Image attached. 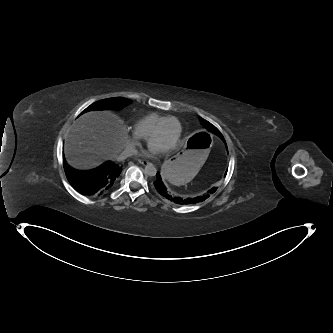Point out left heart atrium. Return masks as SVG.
<instances>
[{
	"label": "left heart atrium",
	"mask_w": 333,
	"mask_h": 333,
	"mask_svg": "<svg viewBox=\"0 0 333 333\" xmlns=\"http://www.w3.org/2000/svg\"><path fill=\"white\" fill-rule=\"evenodd\" d=\"M164 151V149L154 145V144H150L149 146V150L146 153L147 156H154V155H158L161 154Z\"/></svg>",
	"instance_id": "obj_1"
}]
</instances>
